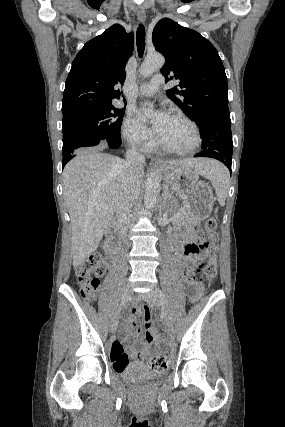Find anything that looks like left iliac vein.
Wrapping results in <instances>:
<instances>
[{
    "label": "left iliac vein",
    "mask_w": 285,
    "mask_h": 427,
    "mask_svg": "<svg viewBox=\"0 0 285 427\" xmlns=\"http://www.w3.org/2000/svg\"><path fill=\"white\" fill-rule=\"evenodd\" d=\"M141 296L143 300L146 301L148 304L160 306V301L155 291L150 290L148 292L143 293ZM162 311H163L164 320L167 328V334L169 336H172L174 334V325H173L172 318L166 309L163 308Z\"/></svg>",
    "instance_id": "4c4485c4"
}]
</instances>
